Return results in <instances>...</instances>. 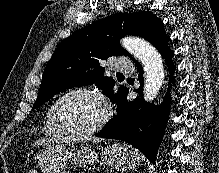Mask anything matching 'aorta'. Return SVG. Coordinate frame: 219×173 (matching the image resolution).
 <instances>
[{"label":"aorta","instance_id":"762f6f07","mask_svg":"<svg viewBox=\"0 0 219 173\" xmlns=\"http://www.w3.org/2000/svg\"><path fill=\"white\" fill-rule=\"evenodd\" d=\"M121 45L137 60L145 71L143 96L146 101H153L164 83V67L160 53L149 42L138 37H125Z\"/></svg>","mask_w":219,"mask_h":173}]
</instances>
